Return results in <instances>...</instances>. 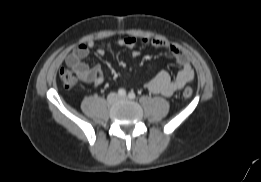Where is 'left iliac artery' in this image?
Returning a JSON list of instances; mask_svg holds the SVG:
<instances>
[{"instance_id": "left-iliac-artery-1", "label": "left iliac artery", "mask_w": 261, "mask_h": 182, "mask_svg": "<svg viewBox=\"0 0 261 182\" xmlns=\"http://www.w3.org/2000/svg\"><path fill=\"white\" fill-rule=\"evenodd\" d=\"M128 97L130 99H134L136 97L135 93L133 91L129 92Z\"/></svg>"}]
</instances>
